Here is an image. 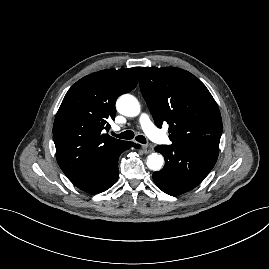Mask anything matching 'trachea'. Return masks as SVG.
Segmentation results:
<instances>
[{
    "label": "trachea",
    "mask_w": 269,
    "mask_h": 269,
    "mask_svg": "<svg viewBox=\"0 0 269 269\" xmlns=\"http://www.w3.org/2000/svg\"><path fill=\"white\" fill-rule=\"evenodd\" d=\"M113 136L117 137V138H120V139H126V140H130V139H133L134 138V132L131 131V130H127L125 132H122L120 134H115V133H112ZM138 142L142 143V144H145L146 143V138L142 135H138L136 136L135 138Z\"/></svg>",
    "instance_id": "3493384b"
}]
</instances>
